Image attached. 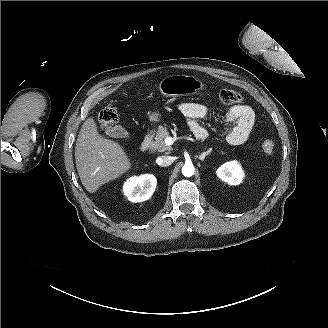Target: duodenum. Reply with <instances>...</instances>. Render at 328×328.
<instances>
[{
	"label": "duodenum",
	"instance_id": "410a0bca",
	"mask_svg": "<svg viewBox=\"0 0 328 328\" xmlns=\"http://www.w3.org/2000/svg\"><path fill=\"white\" fill-rule=\"evenodd\" d=\"M152 140H153V132L149 131L145 135V137L141 143V146H140L141 151H143V152L147 151L151 146Z\"/></svg>",
	"mask_w": 328,
	"mask_h": 328
}]
</instances>
